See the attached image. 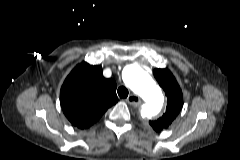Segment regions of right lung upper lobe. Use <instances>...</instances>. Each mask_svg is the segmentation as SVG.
<instances>
[{"mask_svg":"<svg viewBox=\"0 0 240 160\" xmlns=\"http://www.w3.org/2000/svg\"><path fill=\"white\" fill-rule=\"evenodd\" d=\"M60 102L65 116L74 126L88 128L118 102L116 83L103 77L100 66L82 62L65 79Z\"/></svg>","mask_w":240,"mask_h":160,"instance_id":"cb5924a9","label":"right lung upper lobe"}]
</instances>
